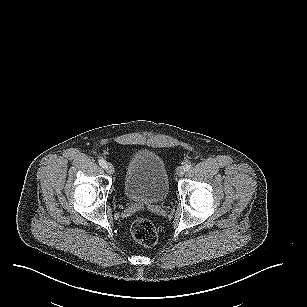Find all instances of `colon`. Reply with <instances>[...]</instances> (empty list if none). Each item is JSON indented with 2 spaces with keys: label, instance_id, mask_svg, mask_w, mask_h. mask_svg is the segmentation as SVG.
<instances>
[{
  "label": "colon",
  "instance_id": "colon-1",
  "mask_svg": "<svg viewBox=\"0 0 307 307\" xmlns=\"http://www.w3.org/2000/svg\"><path fill=\"white\" fill-rule=\"evenodd\" d=\"M131 234L143 246L151 247L158 241L156 227L149 219H136L131 226Z\"/></svg>",
  "mask_w": 307,
  "mask_h": 307
}]
</instances>
